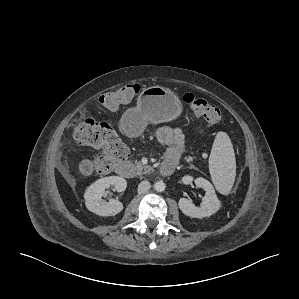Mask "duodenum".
Instances as JSON below:
<instances>
[{"label": "duodenum", "instance_id": "410a0bca", "mask_svg": "<svg viewBox=\"0 0 299 299\" xmlns=\"http://www.w3.org/2000/svg\"><path fill=\"white\" fill-rule=\"evenodd\" d=\"M176 164L172 161H163L160 171L163 175H171L175 170ZM118 175L124 178L132 177L133 170L130 164L122 163L116 169Z\"/></svg>", "mask_w": 299, "mask_h": 299}]
</instances>
